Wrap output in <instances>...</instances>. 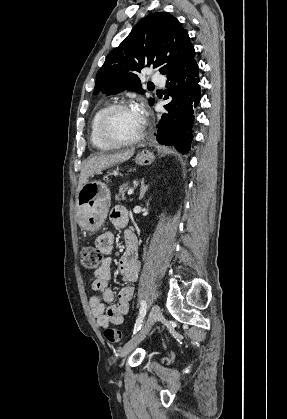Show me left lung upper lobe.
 I'll use <instances>...</instances> for the list:
<instances>
[{
	"label": "left lung upper lobe",
	"instance_id": "obj_1",
	"mask_svg": "<svg viewBox=\"0 0 287 419\" xmlns=\"http://www.w3.org/2000/svg\"><path fill=\"white\" fill-rule=\"evenodd\" d=\"M195 50L181 23L166 12L151 13L112 50L96 75L94 94L145 91L138 73L152 66L169 76L193 60ZM149 102L154 103L150 98Z\"/></svg>",
	"mask_w": 287,
	"mask_h": 419
}]
</instances>
